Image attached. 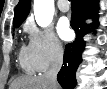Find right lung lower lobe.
Segmentation results:
<instances>
[{
	"label": "right lung lower lobe",
	"mask_w": 107,
	"mask_h": 89,
	"mask_svg": "<svg viewBox=\"0 0 107 89\" xmlns=\"http://www.w3.org/2000/svg\"><path fill=\"white\" fill-rule=\"evenodd\" d=\"M96 1L92 0H72V16L71 27L76 32V39L73 43L67 44L65 47L63 67L58 73V82L63 89H73L76 85V71L82 61L81 52L84 50L85 42L83 35L89 31L85 19L92 16L93 10H97ZM97 19L93 26H97Z\"/></svg>",
	"instance_id": "right-lung-lower-lobe-1"
}]
</instances>
